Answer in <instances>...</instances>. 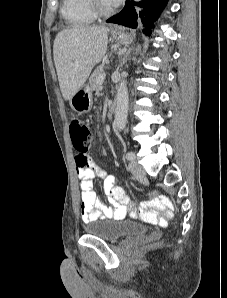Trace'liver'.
Segmentation results:
<instances>
[{"label":"liver","instance_id":"obj_1","mask_svg":"<svg viewBox=\"0 0 227 298\" xmlns=\"http://www.w3.org/2000/svg\"><path fill=\"white\" fill-rule=\"evenodd\" d=\"M109 29L74 26L60 31L54 41V63L65 100L82 87L107 51Z\"/></svg>","mask_w":227,"mask_h":298}]
</instances>
